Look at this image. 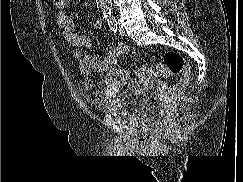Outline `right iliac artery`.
Listing matches in <instances>:
<instances>
[{"label":"right iliac artery","instance_id":"1","mask_svg":"<svg viewBox=\"0 0 243 182\" xmlns=\"http://www.w3.org/2000/svg\"><path fill=\"white\" fill-rule=\"evenodd\" d=\"M109 26H110L111 31H113L114 33L117 32V30H118L117 22L116 23H111V24H109Z\"/></svg>","mask_w":243,"mask_h":182}]
</instances>
